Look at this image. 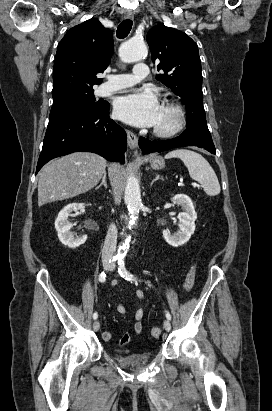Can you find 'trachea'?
Segmentation results:
<instances>
[{"label": "trachea", "instance_id": "obj_1", "mask_svg": "<svg viewBox=\"0 0 272 411\" xmlns=\"http://www.w3.org/2000/svg\"><path fill=\"white\" fill-rule=\"evenodd\" d=\"M132 25L133 22L129 19L122 21L117 28V37L120 39L127 37L131 31Z\"/></svg>", "mask_w": 272, "mask_h": 411}]
</instances>
